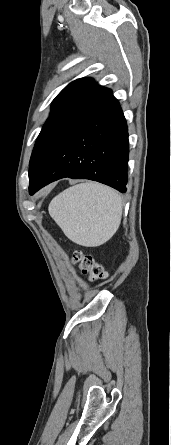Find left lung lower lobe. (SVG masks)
Instances as JSON below:
<instances>
[{
    "mask_svg": "<svg viewBox=\"0 0 171 445\" xmlns=\"http://www.w3.org/2000/svg\"><path fill=\"white\" fill-rule=\"evenodd\" d=\"M128 154L126 120L111 94L61 138L35 177L29 180V193L33 195L64 177L98 181L125 193Z\"/></svg>",
    "mask_w": 171,
    "mask_h": 445,
    "instance_id": "1",
    "label": "left lung lower lobe"
}]
</instances>
